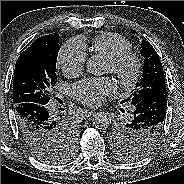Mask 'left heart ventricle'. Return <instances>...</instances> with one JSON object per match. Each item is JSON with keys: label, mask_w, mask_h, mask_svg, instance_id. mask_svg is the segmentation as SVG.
<instances>
[{"label": "left heart ventricle", "mask_w": 184, "mask_h": 184, "mask_svg": "<svg viewBox=\"0 0 184 184\" xmlns=\"http://www.w3.org/2000/svg\"><path fill=\"white\" fill-rule=\"evenodd\" d=\"M109 71V66L108 65H106V72H108Z\"/></svg>", "instance_id": "obj_1"}]
</instances>
